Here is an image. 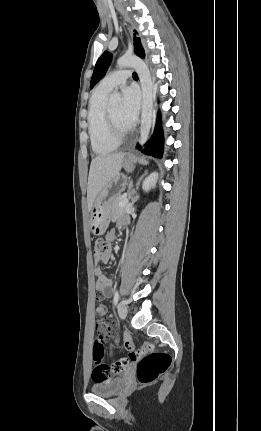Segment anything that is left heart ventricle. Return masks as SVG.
I'll return each mask as SVG.
<instances>
[{
    "instance_id": "1",
    "label": "left heart ventricle",
    "mask_w": 261,
    "mask_h": 431,
    "mask_svg": "<svg viewBox=\"0 0 261 431\" xmlns=\"http://www.w3.org/2000/svg\"><path fill=\"white\" fill-rule=\"evenodd\" d=\"M120 105L116 104L112 107H110L108 109L113 121L115 122V124L118 126V128H120L121 130H126L128 129L124 123L121 120V116H120Z\"/></svg>"
}]
</instances>
